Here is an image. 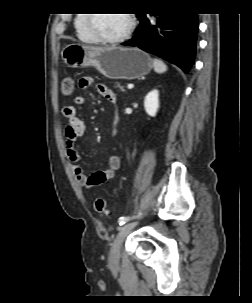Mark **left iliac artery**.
<instances>
[{
  "instance_id": "1",
  "label": "left iliac artery",
  "mask_w": 252,
  "mask_h": 303,
  "mask_svg": "<svg viewBox=\"0 0 252 303\" xmlns=\"http://www.w3.org/2000/svg\"><path fill=\"white\" fill-rule=\"evenodd\" d=\"M131 218L130 217H121L118 220V223L120 226L124 225L127 221H129Z\"/></svg>"
}]
</instances>
